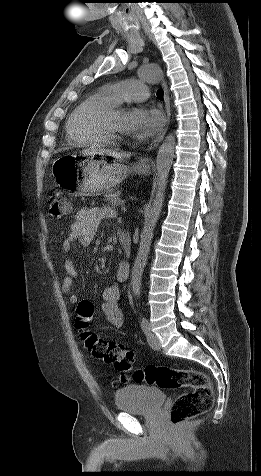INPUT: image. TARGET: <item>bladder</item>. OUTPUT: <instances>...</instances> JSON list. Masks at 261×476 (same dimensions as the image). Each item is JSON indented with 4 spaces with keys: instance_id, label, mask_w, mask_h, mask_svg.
Here are the masks:
<instances>
[{
    "instance_id": "1",
    "label": "bladder",
    "mask_w": 261,
    "mask_h": 476,
    "mask_svg": "<svg viewBox=\"0 0 261 476\" xmlns=\"http://www.w3.org/2000/svg\"><path fill=\"white\" fill-rule=\"evenodd\" d=\"M165 399L163 390L145 384L125 386L119 389L114 397L119 411L134 415H150L156 412Z\"/></svg>"
}]
</instances>
